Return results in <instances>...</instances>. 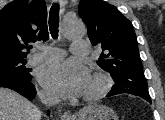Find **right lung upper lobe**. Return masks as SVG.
I'll list each match as a JSON object with an SVG mask.
<instances>
[{
  "label": "right lung upper lobe",
  "mask_w": 165,
  "mask_h": 120,
  "mask_svg": "<svg viewBox=\"0 0 165 120\" xmlns=\"http://www.w3.org/2000/svg\"><path fill=\"white\" fill-rule=\"evenodd\" d=\"M44 0H14L0 10V61L24 59L31 43L49 38Z\"/></svg>",
  "instance_id": "1"
}]
</instances>
